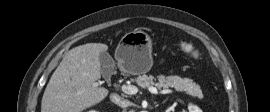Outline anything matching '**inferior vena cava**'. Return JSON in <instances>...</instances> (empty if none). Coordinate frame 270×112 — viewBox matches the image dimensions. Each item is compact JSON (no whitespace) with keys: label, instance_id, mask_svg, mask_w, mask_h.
<instances>
[{"label":"inferior vena cava","instance_id":"obj_1","mask_svg":"<svg viewBox=\"0 0 270 112\" xmlns=\"http://www.w3.org/2000/svg\"><path fill=\"white\" fill-rule=\"evenodd\" d=\"M110 100L122 108L128 107L130 105L129 100L122 98L121 96H119L116 93H113L110 95Z\"/></svg>","mask_w":270,"mask_h":112}]
</instances>
